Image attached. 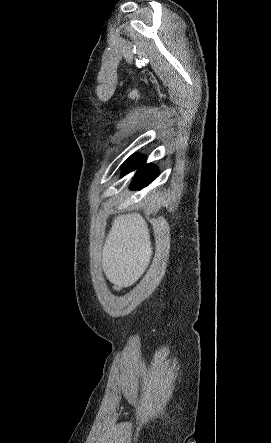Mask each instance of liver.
<instances>
[{"label":"liver","instance_id":"liver-1","mask_svg":"<svg viewBox=\"0 0 271 443\" xmlns=\"http://www.w3.org/2000/svg\"><path fill=\"white\" fill-rule=\"evenodd\" d=\"M153 253L148 225L141 214L114 218L102 249V269L109 281L128 287L146 271Z\"/></svg>","mask_w":271,"mask_h":443}]
</instances>
